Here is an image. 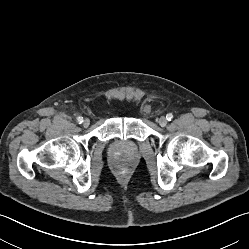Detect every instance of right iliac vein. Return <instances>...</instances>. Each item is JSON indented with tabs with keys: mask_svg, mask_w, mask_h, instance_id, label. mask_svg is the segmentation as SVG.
I'll list each match as a JSON object with an SVG mask.
<instances>
[{
	"mask_svg": "<svg viewBox=\"0 0 249 249\" xmlns=\"http://www.w3.org/2000/svg\"><path fill=\"white\" fill-rule=\"evenodd\" d=\"M89 124H90V120H89V119H84V121H83V126H84V127H88Z\"/></svg>",
	"mask_w": 249,
	"mask_h": 249,
	"instance_id": "63e3f726",
	"label": "right iliac vein"
}]
</instances>
